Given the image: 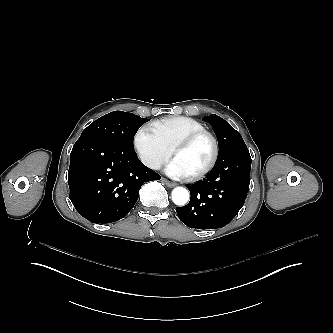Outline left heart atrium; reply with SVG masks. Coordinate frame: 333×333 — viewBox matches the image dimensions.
<instances>
[{"instance_id": "39dd6f15", "label": "left heart atrium", "mask_w": 333, "mask_h": 333, "mask_svg": "<svg viewBox=\"0 0 333 333\" xmlns=\"http://www.w3.org/2000/svg\"><path fill=\"white\" fill-rule=\"evenodd\" d=\"M164 172L172 178L175 179H184L188 177V174L186 173V171L180 166V164L178 163V161L176 159H171L165 169Z\"/></svg>"}]
</instances>
